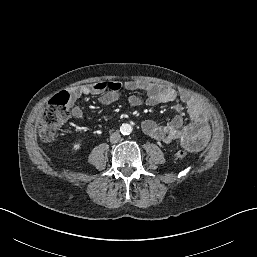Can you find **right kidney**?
I'll return each instance as SVG.
<instances>
[{
    "label": "right kidney",
    "instance_id": "ca27d5eb",
    "mask_svg": "<svg viewBox=\"0 0 257 257\" xmlns=\"http://www.w3.org/2000/svg\"><path fill=\"white\" fill-rule=\"evenodd\" d=\"M80 148H81V144L78 142L73 145L72 150L73 152H77L78 150H80Z\"/></svg>",
    "mask_w": 257,
    "mask_h": 257
}]
</instances>
